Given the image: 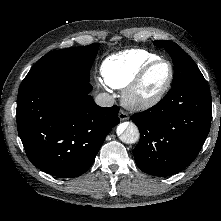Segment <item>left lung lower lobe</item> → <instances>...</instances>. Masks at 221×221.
Listing matches in <instances>:
<instances>
[{
    "instance_id": "left-lung-lower-lobe-1",
    "label": "left lung lower lobe",
    "mask_w": 221,
    "mask_h": 221,
    "mask_svg": "<svg viewBox=\"0 0 221 221\" xmlns=\"http://www.w3.org/2000/svg\"><path fill=\"white\" fill-rule=\"evenodd\" d=\"M211 117V93L206 81L172 87L158 104L131 117L140 131L133 152L137 166L155 176L183 170L200 152Z\"/></svg>"
}]
</instances>
